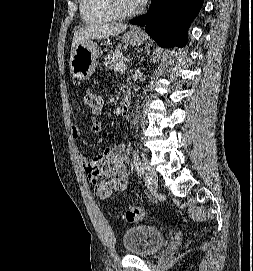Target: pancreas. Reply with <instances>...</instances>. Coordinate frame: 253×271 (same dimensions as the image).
I'll list each match as a JSON object with an SVG mask.
<instances>
[{"label":"pancreas","instance_id":"cf45deb5","mask_svg":"<svg viewBox=\"0 0 253 271\" xmlns=\"http://www.w3.org/2000/svg\"><path fill=\"white\" fill-rule=\"evenodd\" d=\"M124 61L123 54L120 50H115L113 53L109 54L107 57H105L104 65L109 69L116 70L117 64H121Z\"/></svg>","mask_w":253,"mask_h":271}]
</instances>
